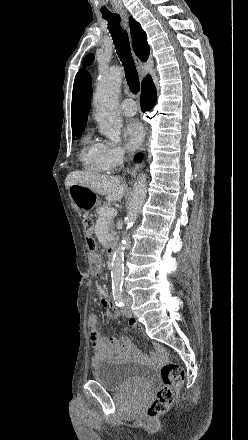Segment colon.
<instances>
[{
  "instance_id": "5ec220e1",
  "label": "colon",
  "mask_w": 248,
  "mask_h": 440,
  "mask_svg": "<svg viewBox=\"0 0 248 440\" xmlns=\"http://www.w3.org/2000/svg\"><path fill=\"white\" fill-rule=\"evenodd\" d=\"M83 226L86 231L89 251V264L93 272H97L100 268V260L96 255V247L91 239V229L93 222L89 218L83 220ZM162 385L156 393V396L147 409L149 418H156L168 411L173 404L184 379V369L176 363H166L161 368Z\"/></svg>"
}]
</instances>
